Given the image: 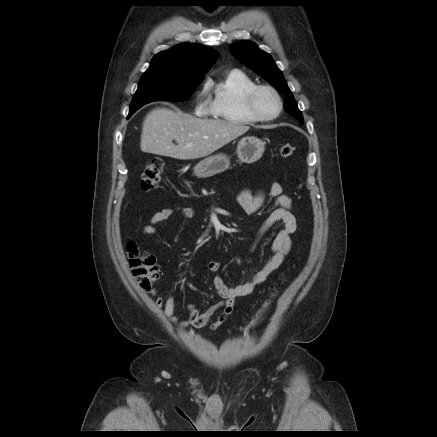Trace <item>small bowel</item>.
I'll use <instances>...</instances> for the list:
<instances>
[{"label": "small bowel", "mask_w": 437, "mask_h": 437, "mask_svg": "<svg viewBox=\"0 0 437 437\" xmlns=\"http://www.w3.org/2000/svg\"><path fill=\"white\" fill-rule=\"evenodd\" d=\"M267 198H270L274 201L276 209L270 213L261 226L258 233V238L253 248L273 225L280 222L282 227L277 232L273 240L271 257L261 266V268L248 282L236 287L228 286L217 274L220 269L219 262H208L207 269L211 273H215L213 284L218 295L222 298V301L211 306L204 312H200L193 305H190L187 310V317L181 320L175 315L174 296L169 295L166 299L158 296L156 299V305L163 309L164 315L170 322L181 328H186L189 326L202 328L209 324L213 317L219 312L216 320L211 325V329H217L232 314L235 301L238 298L251 294L258 285L263 283L272 274V272H274L283 263L286 255L291 249L292 242L290 236L297 229L296 218L292 213L291 198L283 194L282 187L279 183L274 182L269 186L266 192L258 191L256 193H252L247 189L242 190L237 197V202L245 214L253 215L264 206ZM175 212H178L184 219H191L195 215L194 210L189 207H168L161 209L153 214L149 223L143 228L142 233L144 235L157 234L158 224L169 219Z\"/></svg>", "instance_id": "small-bowel-1"}]
</instances>
